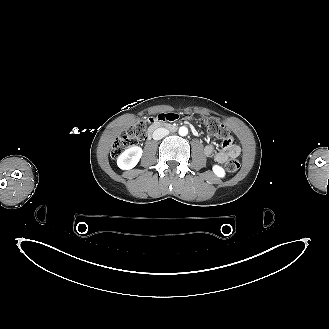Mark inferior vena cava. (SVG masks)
<instances>
[{
	"mask_svg": "<svg viewBox=\"0 0 329 329\" xmlns=\"http://www.w3.org/2000/svg\"><path fill=\"white\" fill-rule=\"evenodd\" d=\"M169 134V130L166 128H157L154 132H153V139L154 140H160L162 138H164L165 136H167Z\"/></svg>",
	"mask_w": 329,
	"mask_h": 329,
	"instance_id": "obj_1",
	"label": "inferior vena cava"
}]
</instances>
